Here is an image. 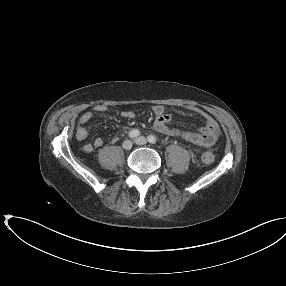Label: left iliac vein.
Segmentation results:
<instances>
[{"instance_id": "4c4485c4", "label": "left iliac vein", "mask_w": 286, "mask_h": 286, "mask_svg": "<svg viewBox=\"0 0 286 286\" xmlns=\"http://www.w3.org/2000/svg\"><path fill=\"white\" fill-rule=\"evenodd\" d=\"M135 143L138 145H145L147 143V139L144 136H140L135 139Z\"/></svg>"}]
</instances>
